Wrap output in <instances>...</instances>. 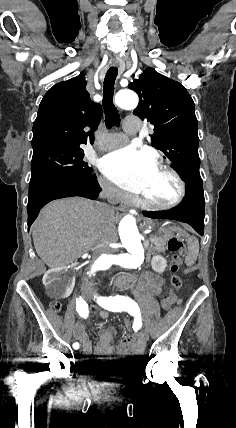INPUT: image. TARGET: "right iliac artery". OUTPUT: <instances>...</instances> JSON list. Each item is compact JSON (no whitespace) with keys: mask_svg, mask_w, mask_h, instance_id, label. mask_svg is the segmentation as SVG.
Instances as JSON below:
<instances>
[{"mask_svg":"<svg viewBox=\"0 0 236 428\" xmlns=\"http://www.w3.org/2000/svg\"><path fill=\"white\" fill-rule=\"evenodd\" d=\"M76 311L79 313V315L83 318H87L88 314H89V310H88V304L83 300L82 297H80L79 299H76ZM73 348L74 349H78L79 348V343L76 342L73 344Z\"/></svg>","mask_w":236,"mask_h":428,"instance_id":"right-iliac-artery-1","label":"right iliac artery"}]
</instances>
